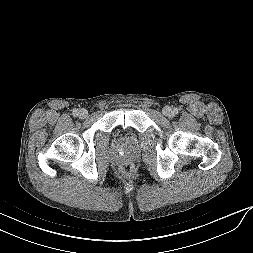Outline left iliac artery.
<instances>
[{
    "label": "left iliac artery",
    "mask_w": 253,
    "mask_h": 253,
    "mask_svg": "<svg viewBox=\"0 0 253 253\" xmlns=\"http://www.w3.org/2000/svg\"><path fill=\"white\" fill-rule=\"evenodd\" d=\"M178 113V110L177 109H174L173 110V114H177Z\"/></svg>",
    "instance_id": "obj_1"
}]
</instances>
